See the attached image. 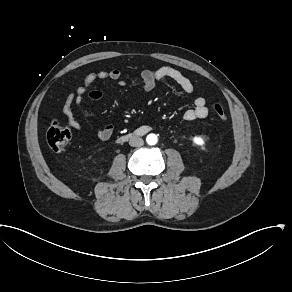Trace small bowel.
<instances>
[{"label":"small bowel","instance_id":"c3829d8e","mask_svg":"<svg viewBox=\"0 0 292 292\" xmlns=\"http://www.w3.org/2000/svg\"><path fill=\"white\" fill-rule=\"evenodd\" d=\"M120 78L121 72L117 68L94 71L87 74L84 78L83 84L75 91L69 92L65 97L62 112L68 125L77 132H84L83 125L74 114V106L85 96L91 100H100L102 98L103 94L100 90H90V87L95 81H118L119 85L123 86L124 82L120 81ZM141 79L143 88L146 92L153 91L157 82L165 79L174 81L187 94H192L194 91L193 82L178 69L170 66H163L153 70L145 69L141 72ZM208 112L205 98L202 96H197L193 99V107L184 112L183 119L186 121L203 119L208 116ZM113 133L114 126L107 125L103 129L99 130L97 135L100 140L108 141L112 137Z\"/></svg>","mask_w":292,"mask_h":292}]
</instances>
